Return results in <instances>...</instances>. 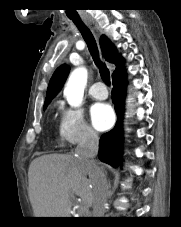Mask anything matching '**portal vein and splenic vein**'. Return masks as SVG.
I'll use <instances>...</instances> for the list:
<instances>
[{"label": "portal vein and splenic vein", "instance_id": "1", "mask_svg": "<svg viewBox=\"0 0 181 227\" xmlns=\"http://www.w3.org/2000/svg\"><path fill=\"white\" fill-rule=\"evenodd\" d=\"M81 209L84 210L85 209V206H81Z\"/></svg>", "mask_w": 181, "mask_h": 227}]
</instances>
